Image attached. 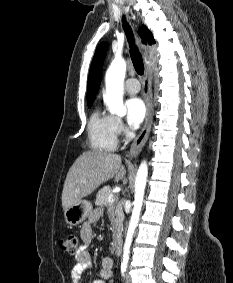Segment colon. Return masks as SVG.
Instances as JSON below:
<instances>
[{
  "instance_id": "5ec220e1",
  "label": "colon",
  "mask_w": 233,
  "mask_h": 283,
  "mask_svg": "<svg viewBox=\"0 0 233 283\" xmlns=\"http://www.w3.org/2000/svg\"><path fill=\"white\" fill-rule=\"evenodd\" d=\"M61 250L70 254H75L78 251V237L75 234H69L59 240Z\"/></svg>"
}]
</instances>
